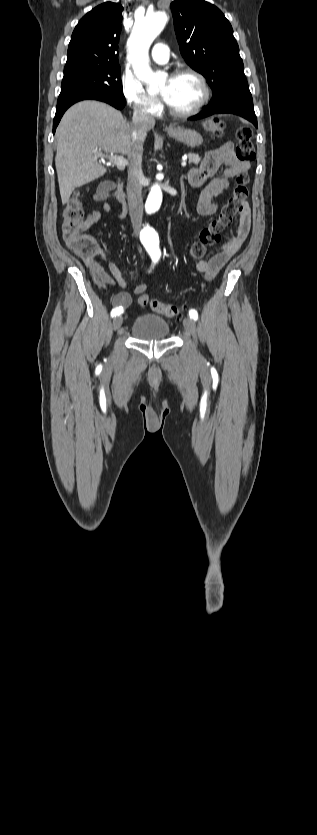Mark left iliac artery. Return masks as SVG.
Segmentation results:
<instances>
[{"label":"left iliac artery","mask_w":317,"mask_h":835,"mask_svg":"<svg viewBox=\"0 0 317 835\" xmlns=\"http://www.w3.org/2000/svg\"><path fill=\"white\" fill-rule=\"evenodd\" d=\"M189 316H190V318H192V319H194V320H197V319H198V313H197V311H196L195 309H191V310L189 311Z\"/></svg>","instance_id":"left-iliac-artery-1"}]
</instances>
